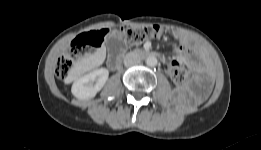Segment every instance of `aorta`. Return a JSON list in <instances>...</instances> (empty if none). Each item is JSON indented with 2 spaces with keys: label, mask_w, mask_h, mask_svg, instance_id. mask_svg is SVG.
Returning a JSON list of instances; mask_svg holds the SVG:
<instances>
[{
  "label": "aorta",
  "mask_w": 261,
  "mask_h": 150,
  "mask_svg": "<svg viewBox=\"0 0 261 150\" xmlns=\"http://www.w3.org/2000/svg\"><path fill=\"white\" fill-rule=\"evenodd\" d=\"M158 63V60L156 57L154 56H149L147 59H146V64L149 66V67H155Z\"/></svg>",
  "instance_id": "762f6f07"
}]
</instances>
